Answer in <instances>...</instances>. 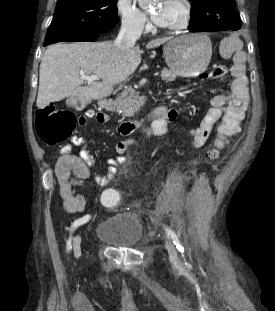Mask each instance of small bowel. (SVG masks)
<instances>
[{"label":"small bowel","mask_w":275,"mask_h":311,"mask_svg":"<svg viewBox=\"0 0 275 311\" xmlns=\"http://www.w3.org/2000/svg\"><path fill=\"white\" fill-rule=\"evenodd\" d=\"M242 42L235 36H231L223 40V46L220 50V57H232L233 66L230 72L231 87L228 91L215 95L210 100V108L204 116L201 123L192 130L194 146H200L208 139L214 126L219 123L220 118H240L241 122L244 119L245 111L248 108L249 92L248 80L246 76V56L241 50ZM74 107H81V104L71 103ZM164 107V110H154L151 113L148 124L150 127L144 129V134L147 138L152 136L162 137L168 132L170 123L174 122L178 116L175 109ZM87 119H95L99 123L107 121L106 114L97 112L93 109L86 110ZM84 125V124H82ZM240 130H220L221 133L228 132L236 134ZM72 143L76 147H80L79 160L78 155H74L73 150L63 148L64 155H57L58 169H55V176L60 181L61 195L64 199L63 212L77 213L84 209L85 201L82 197L75 194L68 180H85L88 177L87 166L93 164V158L90 155L87 146L88 141L85 137L75 136L72 138ZM135 139H126L117 142L115 150L117 155L107 160L108 167L103 176H97V183L106 187L110 180L115 176L117 167L126 163L124 156L130 146H137ZM68 171H72L69 173Z\"/></svg>","instance_id":"small-bowel-1"}]
</instances>
